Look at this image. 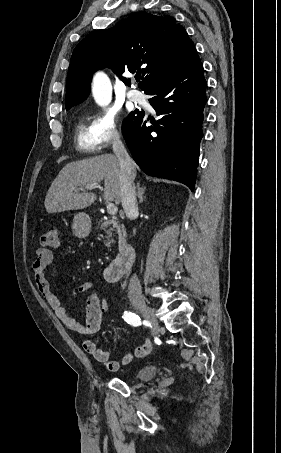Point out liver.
<instances>
[{
  "mask_svg": "<svg viewBox=\"0 0 281 453\" xmlns=\"http://www.w3.org/2000/svg\"><path fill=\"white\" fill-rule=\"evenodd\" d=\"M119 170L120 164L115 154H98L68 162L54 178L45 196L47 212L87 208L97 196L87 190L77 192V188H83L86 184H98L101 180L104 182V200H115V204H120ZM136 174V164L132 162V178H135Z\"/></svg>",
  "mask_w": 281,
  "mask_h": 453,
  "instance_id": "liver-1",
  "label": "liver"
}]
</instances>
